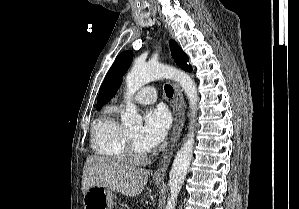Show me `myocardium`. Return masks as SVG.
Returning <instances> with one entry per match:
<instances>
[{
  "instance_id": "1",
  "label": "myocardium",
  "mask_w": 299,
  "mask_h": 209,
  "mask_svg": "<svg viewBox=\"0 0 299 209\" xmlns=\"http://www.w3.org/2000/svg\"><path fill=\"white\" fill-rule=\"evenodd\" d=\"M125 155L126 158L134 164H142L150 157V152L141 153L137 150L132 138L125 132Z\"/></svg>"
}]
</instances>
